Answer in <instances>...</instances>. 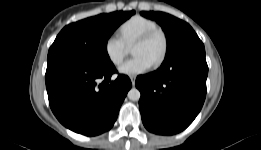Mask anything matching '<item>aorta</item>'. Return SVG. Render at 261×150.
I'll list each match as a JSON object with an SVG mask.
<instances>
[{
	"instance_id": "obj_1",
	"label": "aorta",
	"mask_w": 261,
	"mask_h": 150,
	"mask_svg": "<svg viewBox=\"0 0 261 150\" xmlns=\"http://www.w3.org/2000/svg\"><path fill=\"white\" fill-rule=\"evenodd\" d=\"M127 96L132 101H138L140 99L141 94H140V91L138 89L132 88V89L129 90Z\"/></svg>"
}]
</instances>
